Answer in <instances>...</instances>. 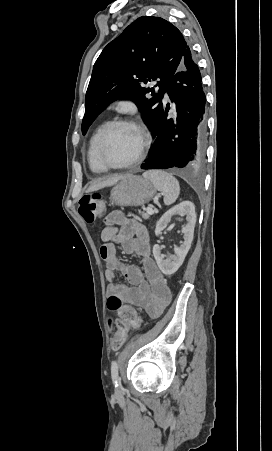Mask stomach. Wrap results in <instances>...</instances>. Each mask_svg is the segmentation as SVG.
Returning <instances> with one entry per match:
<instances>
[{"instance_id":"1","label":"stomach","mask_w":272,"mask_h":451,"mask_svg":"<svg viewBox=\"0 0 272 451\" xmlns=\"http://www.w3.org/2000/svg\"><path fill=\"white\" fill-rule=\"evenodd\" d=\"M154 194L156 190L151 182L141 176L127 174L112 188L110 200L113 206H143L150 202Z\"/></svg>"}]
</instances>
